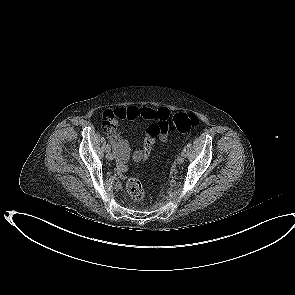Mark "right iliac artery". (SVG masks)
I'll return each mask as SVG.
<instances>
[{
  "label": "right iliac artery",
  "instance_id": "obj_1",
  "mask_svg": "<svg viewBox=\"0 0 295 295\" xmlns=\"http://www.w3.org/2000/svg\"><path fill=\"white\" fill-rule=\"evenodd\" d=\"M106 149H107V151L111 150V146L109 144H107Z\"/></svg>",
  "mask_w": 295,
  "mask_h": 295
}]
</instances>
